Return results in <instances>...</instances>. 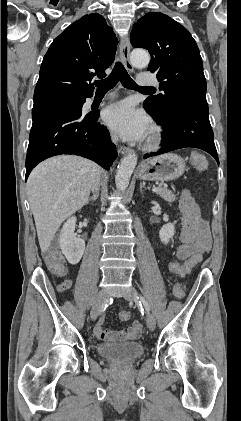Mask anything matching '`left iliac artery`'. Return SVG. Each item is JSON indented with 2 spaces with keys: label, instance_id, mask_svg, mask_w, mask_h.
<instances>
[{
  "label": "left iliac artery",
  "instance_id": "44dca946",
  "mask_svg": "<svg viewBox=\"0 0 241 421\" xmlns=\"http://www.w3.org/2000/svg\"><path fill=\"white\" fill-rule=\"evenodd\" d=\"M140 299H141V301H142V303H143V305H144V307H145V309L147 310V312H149L150 311V306H149V304L147 303V301L142 297V296H140Z\"/></svg>",
  "mask_w": 241,
  "mask_h": 421
}]
</instances>
